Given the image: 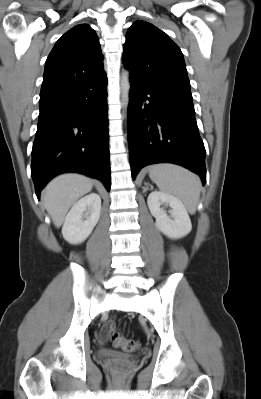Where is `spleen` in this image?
<instances>
[{"label":"spleen","mask_w":261,"mask_h":399,"mask_svg":"<svg viewBox=\"0 0 261 399\" xmlns=\"http://www.w3.org/2000/svg\"><path fill=\"white\" fill-rule=\"evenodd\" d=\"M149 177L158 188L180 198L194 214L200 198V179L194 173L173 164H157L149 168Z\"/></svg>","instance_id":"3e777b00"}]
</instances>
